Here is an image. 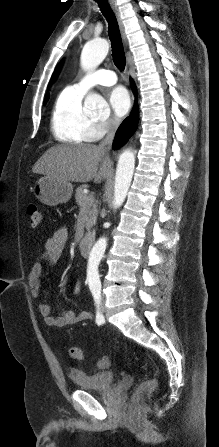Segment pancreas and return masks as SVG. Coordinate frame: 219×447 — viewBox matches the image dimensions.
<instances>
[{"label": "pancreas", "instance_id": "pancreas-1", "mask_svg": "<svg viewBox=\"0 0 219 447\" xmlns=\"http://www.w3.org/2000/svg\"><path fill=\"white\" fill-rule=\"evenodd\" d=\"M87 185H82L76 189L75 199L80 208H85L89 214V217L86 219L85 227L89 230L96 221L97 218V210L96 204L94 203L93 195H87L84 193V189L87 188ZM87 198H91V200L86 201Z\"/></svg>", "mask_w": 219, "mask_h": 447}]
</instances>
